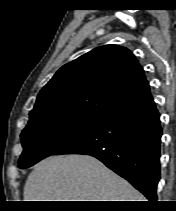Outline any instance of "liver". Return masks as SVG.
I'll list each match as a JSON object with an SVG mask.
<instances>
[{"instance_id":"6515ba94","label":"liver","mask_w":176,"mask_h":211,"mask_svg":"<svg viewBox=\"0 0 176 211\" xmlns=\"http://www.w3.org/2000/svg\"><path fill=\"white\" fill-rule=\"evenodd\" d=\"M126 180L88 155L50 156L24 186V201H144Z\"/></svg>"}]
</instances>
